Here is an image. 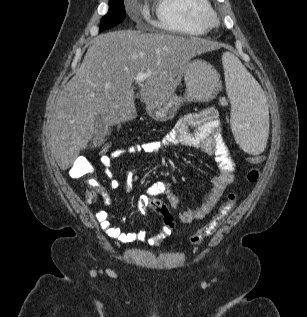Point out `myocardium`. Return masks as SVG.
<instances>
[{"label": "myocardium", "mask_w": 307, "mask_h": 317, "mask_svg": "<svg viewBox=\"0 0 307 317\" xmlns=\"http://www.w3.org/2000/svg\"><path fill=\"white\" fill-rule=\"evenodd\" d=\"M202 22L207 29L215 28L220 23L219 14L210 6L202 13Z\"/></svg>", "instance_id": "f54148a6"}]
</instances>
